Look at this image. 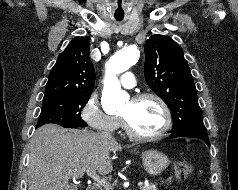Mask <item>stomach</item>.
Returning <instances> with one entry per match:
<instances>
[{"mask_svg":"<svg viewBox=\"0 0 238 190\" xmlns=\"http://www.w3.org/2000/svg\"><path fill=\"white\" fill-rule=\"evenodd\" d=\"M144 169L151 176L161 174L170 164L169 158L157 150H148L141 155Z\"/></svg>","mask_w":238,"mask_h":190,"instance_id":"obj_1","label":"stomach"}]
</instances>
